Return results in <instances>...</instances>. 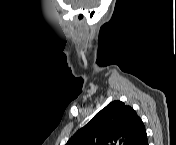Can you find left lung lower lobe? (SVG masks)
Instances as JSON below:
<instances>
[{"mask_svg":"<svg viewBox=\"0 0 176 145\" xmlns=\"http://www.w3.org/2000/svg\"><path fill=\"white\" fill-rule=\"evenodd\" d=\"M138 145H148L147 134L145 133L144 136L141 138V141Z\"/></svg>","mask_w":176,"mask_h":145,"instance_id":"0a47b994","label":"left lung lower lobe"}]
</instances>
